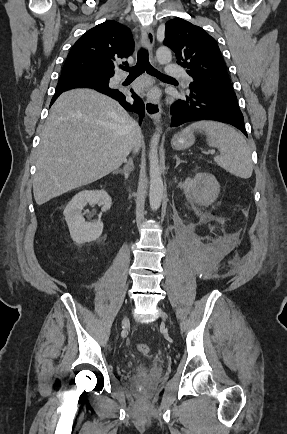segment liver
Here are the masks:
<instances>
[{
    "label": "liver",
    "mask_w": 287,
    "mask_h": 434,
    "mask_svg": "<svg viewBox=\"0 0 287 434\" xmlns=\"http://www.w3.org/2000/svg\"><path fill=\"white\" fill-rule=\"evenodd\" d=\"M135 128L106 95L90 89L62 93L41 133L33 180L37 205L117 170L133 149Z\"/></svg>",
    "instance_id": "6515ba94"
}]
</instances>
